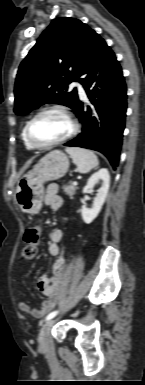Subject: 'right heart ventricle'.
I'll use <instances>...</instances> for the list:
<instances>
[{
  "label": "right heart ventricle",
  "instance_id": "obj_1",
  "mask_svg": "<svg viewBox=\"0 0 145 385\" xmlns=\"http://www.w3.org/2000/svg\"><path fill=\"white\" fill-rule=\"evenodd\" d=\"M22 140H23V142H24L25 147H26L28 150H31L32 148L27 144L26 139H25V127H24V129L22 130Z\"/></svg>",
  "mask_w": 145,
  "mask_h": 385
}]
</instances>
